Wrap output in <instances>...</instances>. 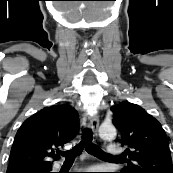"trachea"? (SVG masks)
Here are the masks:
<instances>
[{
  "label": "trachea",
  "mask_w": 173,
  "mask_h": 173,
  "mask_svg": "<svg viewBox=\"0 0 173 173\" xmlns=\"http://www.w3.org/2000/svg\"><path fill=\"white\" fill-rule=\"evenodd\" d=\"M93 133L89 128L83 129L82 140L78 145H76L71 150L65 152H59V155L65 157L66 161H73L78 155L81 154L83 148L89 153L96 157H105V158H117L118 156H112L105 153L101 148L92 143Z\"/></svg>",
  "instance_id": "3493384b"
}]
</instances>
